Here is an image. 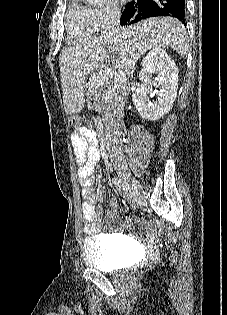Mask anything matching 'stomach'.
<instances>
[{"label":"stomach","instance_id":"obj_1","mask_svg":"<svg viewBox=\"0 0 227 315\" xmlns=\"http://www.w3.org/2000/svg\"><path fill=\"white\" fill-rule=\"evenodd\" d=\"M91 76H95V73H91ZM82 85L85 89V91H94L95 86L92 82V80H90V77H87V80H83ZM89 94V92H88Z\"/></svg>","mask_w":227,"mask_h":315}]
</instances>
